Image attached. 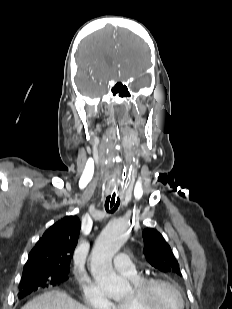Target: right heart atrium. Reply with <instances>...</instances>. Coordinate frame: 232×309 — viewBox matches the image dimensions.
<instances>
[{
    "mask_svg": "<svg viewBox=\"0 0 232 309\" xmlns=\"http://www.w3.org/2000/svg\"><path fill=\"white\" fill-rule=\"evenodd\" d=\"M81 289L84 302L91 309H113L114 303L96 283L82 282Z\"/></svg>",
    "mask_w": 232,
    "mask_h": 309,
    "instance_id": "right-heart-atrium-1",
    "label": "right heart atrium"
}]
</instances>
